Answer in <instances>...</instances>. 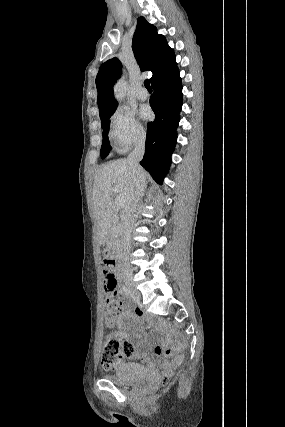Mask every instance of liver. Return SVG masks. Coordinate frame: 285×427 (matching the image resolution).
Listing matches in <instances>:
<instances>
[{
	"label": "liver",
	"mask_w": 285,
	"mask_h": 427,
	"mask_svg": "<svg viewBox=\"0 0 285 427\" xmlns=\"http://www.w3.org/2000/svg\"><path fill=\"white\" fill-rule=\"evenodd\" d=\"M133 186L132 172L126 159L109 162L96 173L92 199L100 244L105 240L115 219L114 195L123 199L124 208L130 199Z\"/></svg>",
	"instance_id": "liver-1"
}]
</instances>
